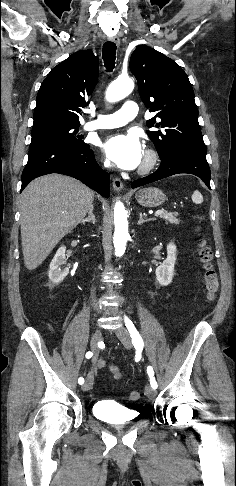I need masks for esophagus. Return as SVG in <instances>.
<instances>
[{
    "instance_id": "34e87169",
    "label": "esophagus",
    "mask_w": 236,
    "mask_h": 486,
    "mask_svg": "<svg viewBox=\"0 0 236 486\" xmlns=\"http://www.w3.org/2000/svg\"><path fill=\"white\" fill-rule=\"evenodd\" d=\"M114 42L117 46L120 45V39L118 36H114L110 39ZM112 185L115 191H120L123 188V183L119 178H113Z\"/></svg>"
}]
</instances>
